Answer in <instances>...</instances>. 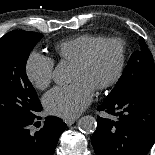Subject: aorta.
<instances>
[{
    "instance_id": "762f6f07",
    "label": "aorta",
    "mask_w": 155,
    "mask_h": 155,
    "mask_svg": "<svg viewBox=\"0 0 155 155\" xmlns=\"http://www.w3.org/2000/svg\"><path fill=\"white\" fill-rule=\"evenodd\" d=\"M53 78L57 84L69 82L70 75L68 67L65 64H58L53 72ZM96 127V119L92 116H83L78 121V129L83 133H92L95 131Z\"/></svg>"
}]
</instances>
